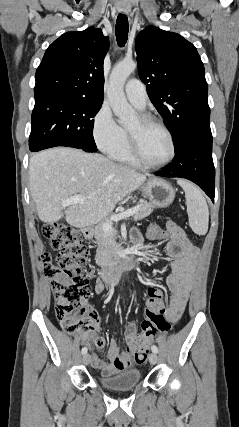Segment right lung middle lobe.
Returning a JSON list of instances; mask_svg holds the SVG:
<instances>
[{"instance_id": "obj_1", "label": "right lung middle lobe", "mask_w": 239, "mask_h": 427, "mask_svg": "<svg viewBox=\"0 0 239 427\" xmlns=\"http://www.w3.org/2000/svg\"><path fill=\"white\" fill-rule=\"evenodd\" d=\"M102 103L78 99L35 100L29 149L33 152L55 146L96 151L92 119Z\"/></svg>"}]
</instances>
